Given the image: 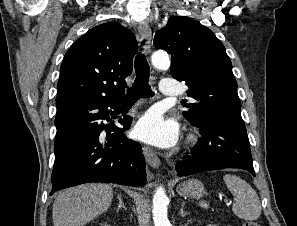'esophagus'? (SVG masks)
<instances>
[{
	"label": "esophagus",
	"instance_id": "34e87169",
	"mask_svg": "<svg viewBox=\"0 0 297 226\" xmlns=\"http://www.w3.org/2000/svg\"><path fill=\"white\" fill-rule=\"evenodd\" d=\"M138 31L142 39H144L143 52L148 54L150 50V40H151V28L146 21H143L138 26ZM143 153L146 162L153 168H158L160 166V160L156 153L152 151L151 148L144 146Z\"/></svg>",
	"mask_w": 297,
	"mask_h": 226
}]
</instances>
